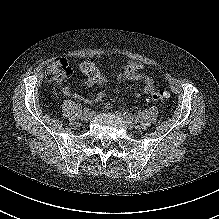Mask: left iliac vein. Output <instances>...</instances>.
Here are the masks:
<instances>
[{"instance_id":"left-iliac-vein-1","label":"left iliac vein","mask_w":219,"mask_h":219,"mask_svg":"<svg viewBox=\"0 0 219 219\" xmlns=\"http://www.w3.org/2000/svg\"><path fill=\"white\" fill-rule=\"evenodd\" d=\"M118 116L125 122L128 128L133 129L135 127L133 120L127 118L125 114L118 113Z\"/></svg>"}]
</instances>
